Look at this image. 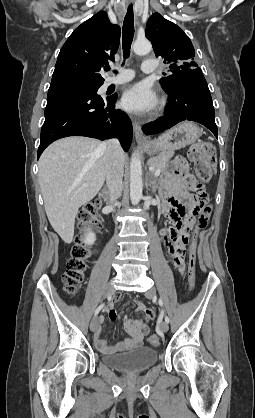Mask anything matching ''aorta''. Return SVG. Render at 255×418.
I'll use <instances>...</instances> for the list:
<instances>
[{"label": "aorta", "instance_id": "762f6f07", "mask_svg": "<svg viewBox=\"0 0 255 418\" xmlns=\"http://www.w3.org/2000/svg\"><path fill=\"white\" fill-rule=\"evenodd\" d=\"M152 46L148 40H136L133 51L138 55H144L151 51ZM142 166L136 151L132 154L130 162V199L133 205H137L142 197Z\"/></svg>", "mask_w": 255, "mask_h": 418}]
</instances>
